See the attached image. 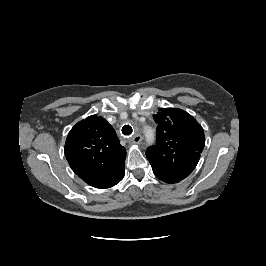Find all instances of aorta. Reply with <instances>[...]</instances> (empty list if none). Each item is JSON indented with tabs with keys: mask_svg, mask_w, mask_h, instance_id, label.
Masks as SVG:
<instances>
[{
	"mask_svg": "<svg viewBox=\"0 0 266 266\" xmlns=\"http://www.w3.org/2000/svg\"><path fill=\"white\" fill-rule=\"evenodd\" d=\"M145 136L148 142H151L154 138V133L152 131V129L150 128H146L145 129Z\"/></svg>",
	"mask_w": 266,
	"mask_h": 266,
	"instance_id": "762f6f07",
	"label": "aorta"
}]
</instances>
